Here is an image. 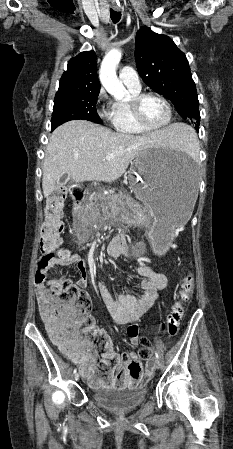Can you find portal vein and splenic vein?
Instances as JSON below:
<instances>
[{"instance_id": "portal-vein-and-splenic-vein-1", "label": "portal vein and splenic vein", "mask_w": 233, "mask_h": 449, "mask_svg": "<svg viewBox=\"0 0 233 449\" xmlns=\"http://www.w3.org/2000/svg\"><path fill=\"white\" fill-rule=\"evenodd\" d=\"M112 157H113V154H108V155L105 156V159L106 160H110Z\"/></svg>"}]
</instances>
